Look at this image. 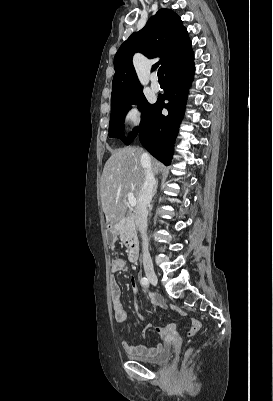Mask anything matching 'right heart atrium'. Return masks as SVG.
I'll list each match as a JSON object with an SVG mask.
<instances>
[{"label": "right heart atrium", "mask_w": 273, "mask_h": 401, "mask_svg": "<svg viewBox=\"0 0 273 401\" xmlns=\"http://www.w3.org/2000/svg\"><path fill=\"white\" fill-rule=\"evenodd\" d=\"M125 121L132 127H136L141 122V110L138 104L132 103L129 105L125 113Z\"/></svg>", "instance_id": "d8ad5b80"}]
</instances>
